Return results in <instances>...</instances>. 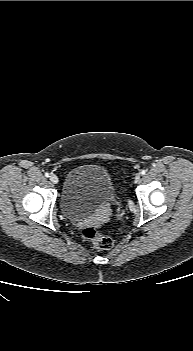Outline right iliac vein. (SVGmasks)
Returning <instances> with one entry per match:
<instances>
[{
    "label": "right iliac vein",
    "mask_w": 193,
    "mask_h": 351,
    "mask_svg": "<svg viewBox=\"0 0 193 351\" xmlns=\"http://www.w3.org/2000/svg\"><path fill=\"white\" fill-rule=\"evenodd\" d=\"M50 181L53 183V184H57L59 182V179L58 177L55 175V174H52L50 176Z\"/></svg>",
    "instance_id": "obj_1"
}]
</instances>
